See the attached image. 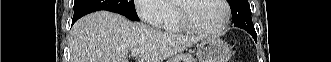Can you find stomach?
Segmentation results:
<instances>
[{"label": "stomach", "mask_w": 331, "mask_h": 62, "mask_svg": "<svg viewBox=\"0 0 331 62\" xmlns=\"http://www.w3.org/2000/svg\"><path fill=\"white\" fill-rule=\"evenodd\" d=\"M232 55V48L219 38H206L201 41L197 49L199 62H228Z\"/></svg>", "instance_id": "stomach-1"}]
</instances>
